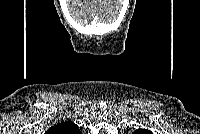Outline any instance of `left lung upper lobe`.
<instances>
[{
  "label": "left lung upper lobe",
  "mask_w": 200,
  "mask_h": 134,
  "mask_svg": "<svg viewBox=\"0 0 200 134\" xmlns=\"http://www.w3.org/2000/svg\"><path fill=\"white\" fill-rule=\"evenodd\" d=\"M151 132H149L148 130L145 129H138L134 132V134H150Z\"/></svg>",
  "instance_id": "1"
}]
</instances>
